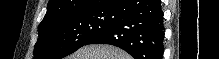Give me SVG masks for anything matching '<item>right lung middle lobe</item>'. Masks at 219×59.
Here are the masks:
<instances>
[{
  "mask_svg": "<svg viewBox=\"0 0 219 59\" xmlns=\"http://www.w3.org/2000/svg\"><path fill=\"white\" fill-rule=\"evenodd\" d=\"M114 20L113 9L66 16L40 24L34 59H62L107 29Z\"/></svg>",
  "mask_w": 219,
  "mask_h": 59,
  "instance_id": "1",
  "label": "right lung middle lobe"
}]
</instances>
